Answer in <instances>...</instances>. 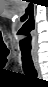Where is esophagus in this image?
Listing matches in <instances>:
<instances>
[{
	"mask_svg": "<svg viewBox=\"0 0 48 87\" xmlns=\"http://www.w3.org/2000/svg\"><path fill=\"white\" fill-rule=\"evenodd\" d=\"M32 59H33V63L35 66V69L38 73V76H40V69H39V63H38V55L36 52H32Z\"/></svg>",
	"mask_w": 48,
	"mask_h": 87,
	"instance_id": "esophagus-1",
	"label": "esophagus"
}]
</instances>
